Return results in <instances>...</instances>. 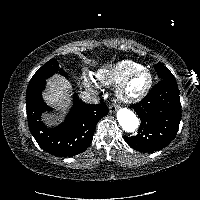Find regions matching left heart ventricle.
Returning <instances> with one entry per match:
<instances>
[{
	"label": "left heart ventricle",
	"mask_w": 200,
	"mask_h": 200,
	"mask_svg": "<svg viewBox=\"0 0 200 200\" xmlns=\"http://www.w3.org/2000/svg\"><path fill=\"white\" fill-rule=\"evenodd\" d=\"M148 82L147 74H139L128 85L127 91L131 95L140 93Z\"/></svg>",
	"instance_id": "b2bd125f"
}]
</instances>
